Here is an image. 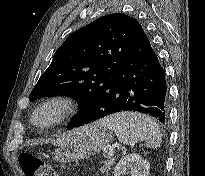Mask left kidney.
Returning a JSON list of instances; mask_svg holds the SVG:
<instances>
[{
  "label": "left kidney",
  "instance_id": "obj_1",
  "mask_svg": "<svg viewBox=\"0 0 205 176\" xmlns=\"http://www.w3.org/2000/svg\"><path fill=\"white\" fill-rule=\"evenodd\" d=\"M149 169L148 161L142 159L139 154L133 153L120 159L114 168V176H121L127 171H130L131 176H148Z\"/></svg>",
  "mask_w": 205,
  "mask_h": 176
}]
</instances>
